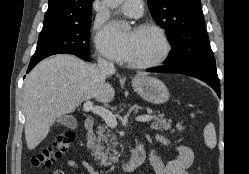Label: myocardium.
Listing matches in <instances>:
<instances>
[{
    "label": "myocardium",
    "mask_w": 249,
    "mask_h": 174,
    "mask_svg": "<svg viewBox=\"0 0 249 174\" xmlns=\"http://www.w3.org/2000/svg\"><path fill=\"white\" fill-rule=\"evenodd\" d=\"M150 30L155 32L161 39L163 43V51L162 53L155 59L145 61V62H130L129 65L135 68L145 69V68H152L164 63L172 52V44L163 28L154 24V23H142L137 28L136 31H145Z\"/></svg>",
    "instance_id": "1"
}]
</instances>
